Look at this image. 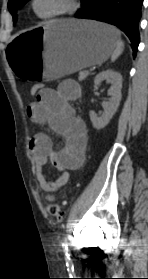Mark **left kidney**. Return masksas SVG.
<instances>
[{"mask_svg":"<svg viewBox=\"0 0 148 279\" xmlns=\"http://www.w3.org/2000/svg\"><path fill=\"white\" fill-rule=\"evenodd\" d=\"M102 81L111 83L112 86L108 90V95L111 96L108 102L103 103V113L98 116L94 111H90V119L93 127L97 130L103 129L116 113L121 101L122 76L120 73L113 70H106L99 73L94 80L95 85H100Z\"/></svg>","mask_w":148,"mask_h":279,"instance_id":"left-kidney-1","label":"left kidney"}]
</instances>
